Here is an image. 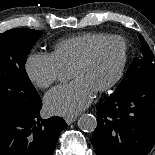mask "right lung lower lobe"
Instances as JSON below:
<instances>
[{
	"mask_svg": "<svg viewBox=\"0 0 155 155\" xmlns=\"http://www.w3.org/2000/svg\"><path fill=\"white\" fill-rule=\"evenodd\" d=\"M39 108L27 115H0V155H52L60 132V117L41 119Z\"/></svg>",
	"mask_w": 155,
	"mask_h": 155,
	"instance_id": "1",
	"label": "right lung lower lobe"
}]
</instances>
